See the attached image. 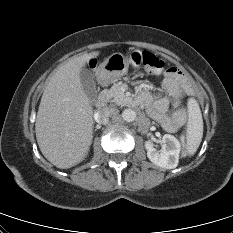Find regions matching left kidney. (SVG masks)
Instances as JSON below:
<instances>
[{"mask_svg":"<svg viewBox=\"0 0 233 233\" xmlns=\"http://www.w3.org/2000/svg\"><path fill=\"white\" fill-rule=\"evenodd\" d=\"M161 142L162 148L160 151L154 148L151 142H145L147 157L153 164L159 167L173 169L178 165L181 144L174 136L169 134H165Z\"/></svg>","mask_w":233,"mask_h":233,"instance_id":"5707ae66","label":"left kidney"}]
</instances>
